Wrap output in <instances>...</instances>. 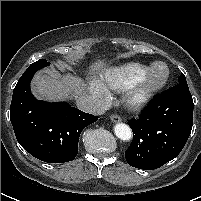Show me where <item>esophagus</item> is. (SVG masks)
Segmentation results:
<instances>
[{
    "mask_svg": "<svg viewBox=\"0 0 201 201\" xmlns=\"http://www.w3.org/2000/svg\"><path fill=\"white\" fill-rule=\"evenodd\" d=\"M110 120L113 122V123H118L120 122L122 119L119 115H111L110 117Z\"/></svg>",
    "mask_w": 201,
    "mask_h": 201,
    "instance_id": "34e87169",
    "label": "esophagus"
}]
</instances>
